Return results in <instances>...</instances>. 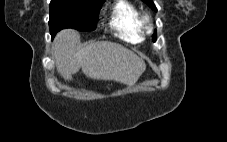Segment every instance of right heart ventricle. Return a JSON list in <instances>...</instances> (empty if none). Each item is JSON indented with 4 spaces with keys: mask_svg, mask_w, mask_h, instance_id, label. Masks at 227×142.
Here are the masks:
<instances>
[{
    "mask_svg": "<svg viewBox=\"0 0 227 142\" xmlns=\"http://www.w3.org/2000/svg\"><path fill=\"white\" fill-rule=\"evenodd\" d=\"M110 28L122 39L136 43L141 41L143 27L137 6L129 0H116L110 11Z\"/></svg>",
    "mask_w": 227,
    "mask_h": 142,
    "instance_id": "obj_1",
    "label": "right heart ventricle"
}]
</instances>
